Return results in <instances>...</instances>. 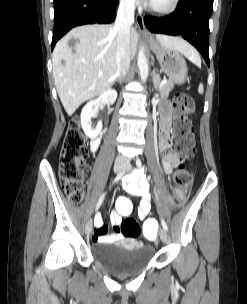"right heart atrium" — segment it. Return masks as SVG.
Listing matches in <instances>:
<instances>
[{
  "label": "right heart atrium",
  "mask_w": 247,
  "mask_h": 304,
  "mask_svg": "<svg viewBox=\"0 0 247 304\" xmlns=\"http://www.w3.org/2000/svg\"><path fill=\"white\" fill-rule=\"evenodd\" d=\"M120 2L127 7H133L136 5L137 0H120Z\"/></svg>",
  "instance_id": "d8ad5b80"
}]
</instances>
